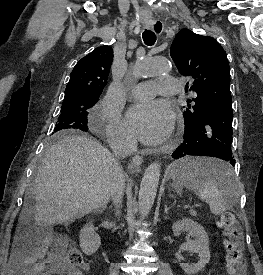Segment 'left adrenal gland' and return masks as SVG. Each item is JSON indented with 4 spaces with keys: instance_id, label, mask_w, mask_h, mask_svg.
<instances>
[{
    "instance_id": "a2214340",
    "label": "left adrenal gland",
    "mask_w": 263,
    "mask_h": 275,
    "mask_svg": "<svg viewBox=\"0 0 263 275\" xmlns=\"http://www.w3.org/2000/svg\"><path fill=\"white\" fill-rule=\"evenodd\" d=\"M169 209H170V207H167L166 205H165V213H168V211H169Z\"/></svg>"
}]
</instances>
